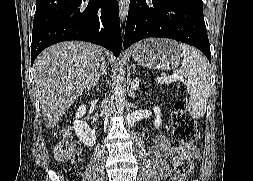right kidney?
Returning a JSON list of instances; mask_svg holds the SVG:
<instances>
[{
	"instance_id": "right-kidney-1",
	"label": "right kidney",
	"mask_w": 253,
	"mask_h": 181,
	"mask_svg": "<svg viewBox=\"0 0 253 181\" xmlns=\"http://www.w3.org/2000/svg\"><path fill=\"white\" fill-rule=\"evenodd\" d=\"M86 106L84 104L80 105L77 109L75 120L73 122V129L79 141L84 144L86 147H92L96 143V134L88 124L80 118L85 114Z\"/></svg>"
}]
</instances>
